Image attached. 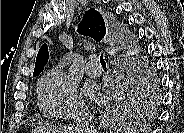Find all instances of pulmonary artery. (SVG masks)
Wrapping results in <instances>:
<instances>
[{
    "instance_id": "pulmonary-artery-1",
    "label": "pulmonary artery",
    "mask_w": 184,
    "mask_h": 133,
    "mask_svg": "<svg viewBox=\"0 0 184 133\" xmlns=\"http://www.w3.org/2000/svg\"><path fill=\"white\" fill-rule=\"evenodd\" d=\"M86 73L91 77H98L102 73V69L97 65L96 56H91L87 65H86Z\"/></svg>"
}]
</instances>
